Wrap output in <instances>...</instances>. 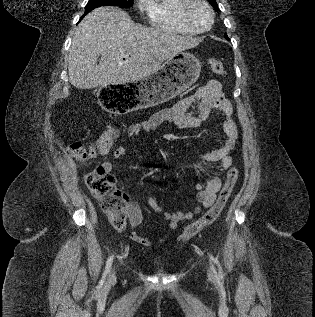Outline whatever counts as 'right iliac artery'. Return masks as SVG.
<instances>
[{
	"mask_svg": "<svg viewBox=\"0 0 315 317\" xmlns=\"http://www.w3.org/2000/svg\"><path fill=\"white\" fill-rule=\"evenodd\" d=\"M113 258L114 256L111 255L107 262H106V267H105V270H104V273H103V276H102V280H101V283L103 284V282L105 281L107 275L110 273V270H111V266H112V262H113Z\"/></svg>",
	"mask_w": 315,
	"mask_h": 317,
	"instance_id": "82829eb1",
	"label": "right iliac artery"
}]
</instances>
